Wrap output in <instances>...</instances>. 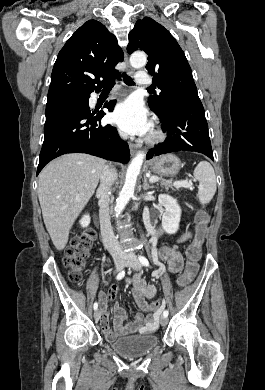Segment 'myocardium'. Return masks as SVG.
<instances>
[{
  "instance_id": "f54148a6",
  "label": "myocardium",
  "mask_w": 265,
  "mask_h": 390,
  "mask_svg": "<svg viewBox=\"0 0 265 390\" xmlns=\"http://www.w3.org/2000/svg\"><path fill=\"white\" fill-rule=\"evenodd\" d=\"M164 135L162 131L158 128L153 129V131L150 133L148 137V141L150 143H157L163 139Z\"/></svg>"
}]
</instances>
